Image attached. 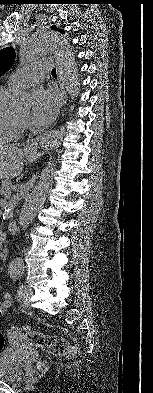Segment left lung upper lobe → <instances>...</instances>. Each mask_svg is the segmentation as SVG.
Wrapping results in <instances>:
<instances>
[{
    "label": "left lung upper lobe",
    "mask_w": 153,
    "mask_h": 393,
    "mask_svg": "<svg viewBox=\"0 0 153 393\" xmlns=\"http://www.w3.org/2000/svg\"><path fill=\"white\" fill-rule=\"evenodd\" d=\"M52 29H56V26H53ZM63 32V30H59ZM15 52L13 48L7 47L0 50V76L6 73L12 66L14 62Z\"/></svg>",
    "instance_id": "1"
}]
</instances>
